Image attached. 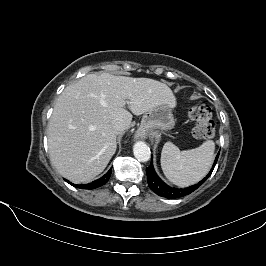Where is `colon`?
<instances>
[{
  "label": "colon",
  "mask_w": 266,
  "mask_h": 266,
  "mask_svg": "<svg viewBox=\"0 0 266 266\" xmlns=\"http://www.w3.org/2000/svg\"><path fill=\"white\" fill-rule=\"evenodd\" d=\"M189 117L195 121L193 135L198 139H211L215 135V124L212 112L204 104H198L189 110Z\"/></svg>",
  "instance_id": "colon-1"
}]
</instances>
